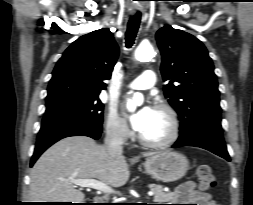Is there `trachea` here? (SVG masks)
I'll list each match as a JSON object with an SVG mask.
<instances>
[{"instance_id":"1","label":"trachea","mask_w":253,"mask_h":205,"mask_svg":"<svg viewBox=\"0 0 253 205\" xmlns=\"http://www.w3.org/2000/svg\"><path fill=\"white\" fill-rule=\"evenodd\" d=\"M141 15L139 13L133 15L130 17L127 31H126V37H125V43L127 48H131L134 44L135 37L137 35L139 25H140Z\"/></svg>"}]
</instances>
